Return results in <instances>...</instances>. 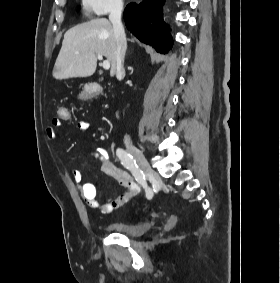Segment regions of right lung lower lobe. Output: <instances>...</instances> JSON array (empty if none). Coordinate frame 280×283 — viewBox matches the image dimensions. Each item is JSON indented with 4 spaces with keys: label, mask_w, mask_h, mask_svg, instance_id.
Wrapping results in <instances>:
<instances>
[{
    "label": "right lung lower lobe",
    "mask_w": 280,
    "mask_h": 283,
    "mask_svg": "<svg viewBox=\"0 0 280 283\" xmlns=\"http://www.w3.org/2000/svg\"><path fill=\"white\" fill-rule=\"evenodd\" d=\"M165 0H143L131 3L124 11L127 29L140 41L151 45L160 53L171 48L172 39L162 19L161 7Z\"/></svg>",
    "instance_id": "right-lung-lower-lobe-1"
}]
</instances>
